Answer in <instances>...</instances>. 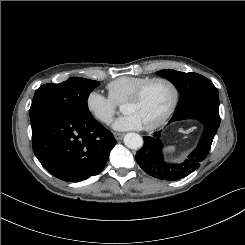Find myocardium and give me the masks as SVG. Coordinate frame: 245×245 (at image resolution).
I'll return each instance as SVG.
<instances>
[{
	"mask_svg": "<svg viewBox=\"0 0 245 245\" xmlns=\"http://www.w3.org/2000/svg\"><path fill=\"white\" fill-rule=\"evenodd\" d=\"M156 82H160V83H164V84L168 85L172 90L173 97H172L171 105L168 108L167 112L156 122L149 124L147 126H144V129L147 131L155 130V129L161 127L162 125H164L170 119V117L173 115V113L175 112L177 105L179 103V97H180V93H179V89H178L177 85L172 80H170L168 78H164V77L150 78V79H147L146 81H144L142 84H140L125 100V103H133V102L138 101L141 98L145 89L150 84L156 83Z\"/></svg>",
	"mask_w": 245,
	"mask_h": 245,
	"instance_id": "myocardium-1",
	"label": "myocardium"
}]
</instances>
